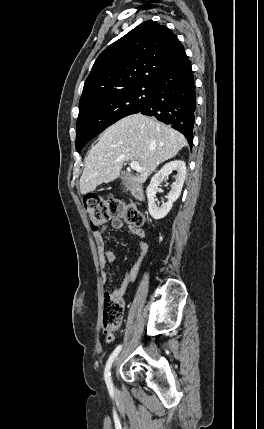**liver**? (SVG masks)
Listing matches in <instances>:
<instances>
[{"instance_id": "liver-1", "label": "liver", "mask_w": 264, "mask_h": 429, "mask_svg": "<svg viewBox=\"0 0 264 429\" xmlns=\"http://www.w3.org/2000/svg\"><path fill=\"white\" fill-rule=\"evenodd\" d=\"M186 145L180 132L154 118L140 113L124 117L108 127L89 151L80 191L85 195L115 180L128 161H138L142 167L129 183L142 184L159 164L175 157Z\"/></svg>"}]
</instances>
